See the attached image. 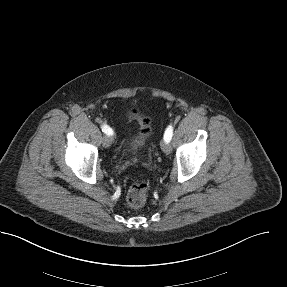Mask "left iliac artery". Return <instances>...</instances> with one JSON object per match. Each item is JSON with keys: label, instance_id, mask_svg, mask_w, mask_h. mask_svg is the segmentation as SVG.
Wrapping results in <instances>:
<instances>
[{"label": "left iliac artery", "instance_id": "left-iliac-artery-1", "mask_svg": "<svg viewBox=\"0 0 287 287\" xmlns=\"http://www.w3.org/2000/svg\"><path fill=\"white\" fill-rule=\"evenodd\" d=\"M172 135H173V127L171 125H169L166 130H165V133H164V140L166 142H170L171 138H172Z\"/></svg>", "mask_w": 287, "mask_h": 287}]
</instances>
